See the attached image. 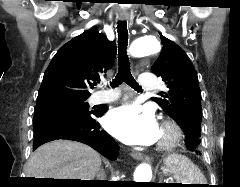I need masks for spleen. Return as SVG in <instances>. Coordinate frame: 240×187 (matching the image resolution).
Returning a JSON list of instances; mask_svg holds the SVG:
<instances>
[{"label":"spleen","mask_w":240,"mask_h":187,"mask_svg":"<svg viewBox=\"0 0 240 187\" xmlns=\"http://www.w3.org/2000/svg\"><path fill=\"white\" fill-rule=\"evenodd\" d=\"M165 164L178 183L206 184L200 169L186 156L172 154L166 158Z\"/></svg>","instance_id":"spleen-1"}]
</instances>
